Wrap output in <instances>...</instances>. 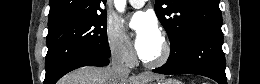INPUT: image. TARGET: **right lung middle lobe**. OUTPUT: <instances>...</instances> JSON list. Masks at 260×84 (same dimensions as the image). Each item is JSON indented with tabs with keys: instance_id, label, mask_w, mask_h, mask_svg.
Instances as JSON below:
<instances>
[{
	"instance_id": "dd1d6c3e",
	"label": "right lung middle lobe",
	"mask_w": 260,
	"mask_h": 84,
	"mask_svg": "<svg viewBox=\"0 0 260 84\" xmlns=\"http://www.w3.org/2000/svg\"><path fill=\"white\" fill-rule=\"evenodd\" d=\"M105 11L48 28L46 76L51 78L68 61L82 56L109 58Z\"/></svg>"
}]
</instances>
